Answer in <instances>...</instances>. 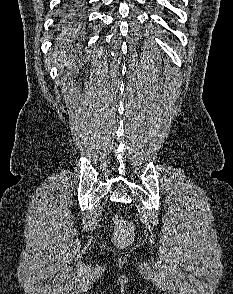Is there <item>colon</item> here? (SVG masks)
I'll return each instance as SVG.
<instances>
[{"instance_id":"5ec220e1","label":"colon","mask_w":233,"mask_h":294,"mask_svg":"<svg viewBox=\"0 0 233 294\" xmlns=\"http://www.w3.org/2000/svg\"><path fill=\"white\" fill-rule=\"evenodd\" d=\"M113 223L115 226L113 239L116 245L120 247L129 245L134 238V227L131 222L116 215L113 217Z\"/></svg>"}]
</instances>
